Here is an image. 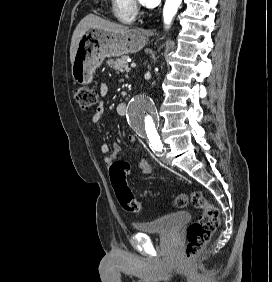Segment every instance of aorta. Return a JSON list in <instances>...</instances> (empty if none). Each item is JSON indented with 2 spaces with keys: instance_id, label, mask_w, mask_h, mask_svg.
Returning <instances> with one entry per match:
<instances>
[{
  "instance_id": "aorta-1",
  "label": "aorta",
  "mask_w": 272,
  "mask_h": 282,
  "mask_svg": "<svg viewBox=\"0 0 272 282\" xmlns=\"http://www.w3.org/2000/svg\"><path fill=\"white\" fill-rule=\"evenodd\" d=\"M182 0H166L163 8L164 24L168 28ZM127 121L137 134L149 139L158 138L157 112L153 102L144 94L134 96L128 105Z\"/></svg>"
}]
</instances>
